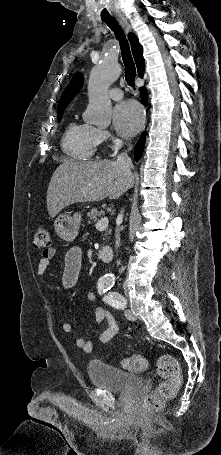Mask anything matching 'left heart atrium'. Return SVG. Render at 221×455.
<instances>
[{
  "instance_id": "39dd6f15",
  "label": "left heart atrium",
  "mask_w": 221,
  "mask_h": 455,
  "mask_svg": "<svg viewBox=\"0 0 221 455\" xmlns=\"http://www.w3.org/2000/svg\"><path fill=\"white\" fill-rule=\"evenodd\" d=\"M142 125L143 113L136 103L125 101L114 108L113 126L119 135L131 137L141 129Z\"/></svg>"
}]
</instances>
